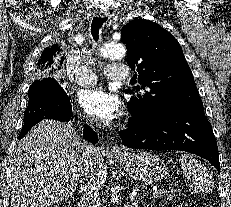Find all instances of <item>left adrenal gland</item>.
I'll return each instance as SVG.
<instances>
[{
  "mask_svg": "<svg viewBox=\"0 0 231 207\" xmlns=\"http://www.w3.org/2000/svg\"><path fill=\"white\" fill-rule=\"evenodd\" d=\"M139 201H140V199L135 200V201H134V203H133V205H134L135 207H138V203H139Z\"/></svg>",
  "mask_w": 231,
  "mask_h": 207,
  "instance_id": "left-adrenal-gland-1",
  "label": "left adrenal gland"
}]
</instances>
